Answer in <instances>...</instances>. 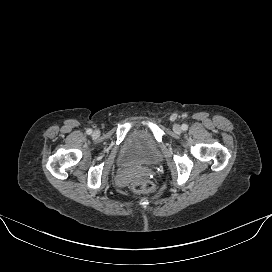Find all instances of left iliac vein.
I'll use <instances>...</instances> for the list:
<instances>
[{
	"instance_id": "obj_1",
	"label": "left iliac vein",
	"mask_w": 272,
	"mask_h": 272,
	"mask_svg": "<svg viewBox=\"0 0 272 272\" xmlns=\"http://www.w3.org/2000/svg\"><path fill=\"white\" fill-rule=\"evenodd\" d=\"M173 131L176 133H180L182 131V128L179 124H174L173 125Z\"/></svg>"
}]
</instances>
